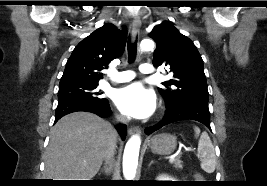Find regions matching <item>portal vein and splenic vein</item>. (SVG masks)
Segmentation results:
<instances>
[{
	"label": "portal vein and splenic vein",
	"mask_w": 267,
	"mask_h": 186,
	"mask_svg": "<svg viewBox=\"0 0 267 186\" xmlns=\"http://www.w3.org/2000/svg\"><path fill=\"white\" fill-rule=\"evenodd\" d=\"M176 157H177V155H172V156L170 157L169 162L172 163Z\"/></svg>",
	"instance_id": "obj_1"
}]
</instances>
